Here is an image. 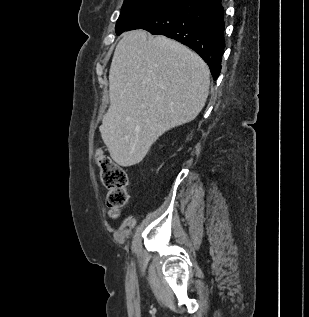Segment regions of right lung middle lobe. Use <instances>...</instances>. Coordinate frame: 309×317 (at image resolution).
<instances>
[{
    "instance_id": "obj_1",
    "label": "right lung middle lobe",
    "mask_w": 309,
    "mask_h": 317,
    "mask_svg": "<svg viewBox=\"0 0 309 317\" xmlns=\"http://www.w3.org/2000/svg\"><path fill=\"white\" fill-rule=\"evenodd\" d=\"M178 1L180 0H124L116 23L117 35L139 17Z\"/></svg>"
}]
</instances>
